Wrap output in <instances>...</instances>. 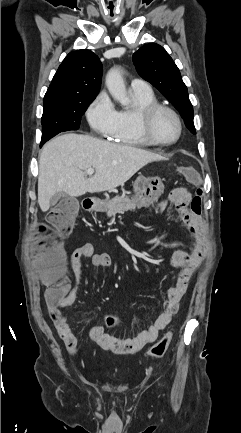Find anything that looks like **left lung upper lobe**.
<instances>
[{"instance_id": "left-lung-upper-lobe-1", "label": "left lung upper lobe", "mask_w": 241, "mask_h": 433, "mask_svg": "<svg viewBox=\"0 0 241 433\" xmlns=\"http://www.w3.org/2000/svg\"><path fill=\"white\" fill-rule=\"evenodd\" d=\"M133 62L138 74L153 84L177 108L187 128L196 134L187 87L166 50L155 43L146 44L133 54Z\"/></svg>"}]
</instances>
